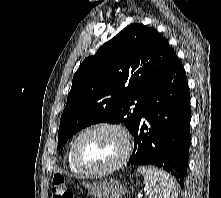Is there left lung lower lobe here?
Masks as SVG:
<instances>
[{"label": "left lung lower lobe", "mask_w": 221, "mask_h": 198, "mask_svg": "<svg viewBox=\"0 0 221 198\" xmlns=\"http://www.w3.org/2000/svg\"><path fill=\"white\" fill-rule=\"evenodd\" d=\"M147 122H143L142 118ZM190 93L176 54L162 79L148 93L133 131V165H155L180 179L184 187L190 144Z\"/></svg>", "instance_id": "obj_1"}]
</instances>
